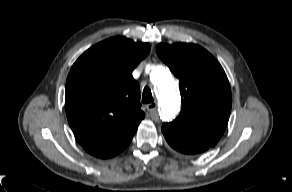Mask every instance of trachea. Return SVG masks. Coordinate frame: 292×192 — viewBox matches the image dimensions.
<instances>
[{
    "label": "trachea",
    "mask_w": 292,
    "mask_h": 192,
    "mask_svg": "<svg viewBox=\"0 0 292 192\" xmlns=\"http://www.w3.org/2000/svg\"><path fill=\"white\" fill-rule=\"evenodd\" d=\"M154 99L152 97V93L149 87H145L143 90V97H142V102L143 103H151L153 102Z\"/></svg>",
    "instance_id": "trachea-1"
}]
</instances>
